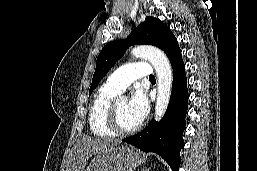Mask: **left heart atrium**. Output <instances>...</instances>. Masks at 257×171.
Returning <instances> with one entry per match:
<instances>
[{
	"mask_svg": "<svg viewBox=\"0 0 257 171\" xmlns=\"http://www.w3.org/2000/svg\"><path fill=\"white\" fill-rule=\"evenodd\" d=\"M129 109L139 122L147 116L149 102L146 93L141 88H136L133 91L129 101Z\"/></svg>",
	"mask_w": 257,
	"mask_h": 171,
	"instance_id": "1",
	"label": "left heart atrium"
}]
</instances>
